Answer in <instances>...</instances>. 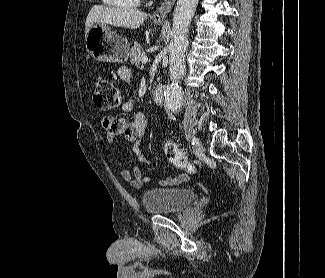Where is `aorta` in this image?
Instances as JSON below:
<instances>
[{
  "label": "aorta",
  "mask_w": 325,
  "mask_h": 278,
  "mask_svg": "<svg viewBox=\"0 0 325 278\" xmlns=\"http://www.w3.org/2000/svg\"><path fill=\"white\" fill-rule=\"evenodd\" d=\"M199 0H178L174 10L172 41L169 53V74L171 83L165 89V107L169 111L180 109L183 92L179 80L185 74V53L188 46V32L190 22Z\"/></svg>",
  "instance_id": "762f6f07"
}]
</instances>
